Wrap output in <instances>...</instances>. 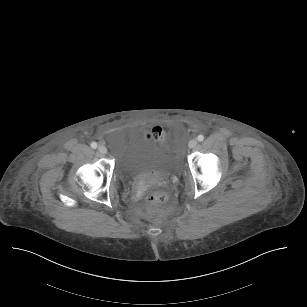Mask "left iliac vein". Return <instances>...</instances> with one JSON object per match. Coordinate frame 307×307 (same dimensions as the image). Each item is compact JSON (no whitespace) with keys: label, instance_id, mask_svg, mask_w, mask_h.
<instances>
[{"label":"left iliac vein","instance_id":"1","mask_svg":"<svg viewBox=\"0 0 307 307\" xmlns=\"http://www.w3.org/2000/svg\"><path fill=\"white\" fill-rule=\"evenodd\" d=\"M189 148H194L197 145V140L196 139H191L189 142Z\"/></svg>","mask_w":307,"mask_h":307}]
</instances>
